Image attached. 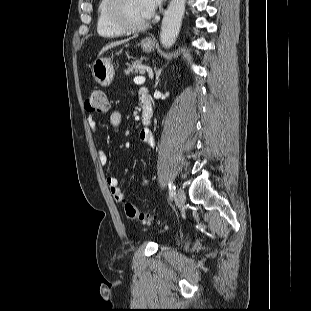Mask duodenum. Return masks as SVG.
Masks as SVG:
<instances>
[{
    "label": "duodenum",
    "mask_w": 311,
    "mask_h": 311,
    "mask_svg": "<svg viewBox=\"0 0 311 311\" xmlns=\"http://www.w3.org/2000/svg\"><path fill=\"white\" fill-rule=\"evenodd\" d=\"M152 119V104L150 98L142 100V121L144 124H150Z\"/></svg>",
    "instance_id": "410a0bca"
}]
</instances>
